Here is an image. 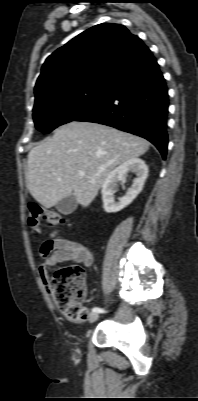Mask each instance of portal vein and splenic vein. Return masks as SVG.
Here are the masks:
<instances>
[{
	"label": "portal vein and splenic vein",
	"instance_id": "portal-vein-and-splenic-vein-1",
	"mask_svg": "<svg viewBox=\"0 0 198 401\" xmlns=\"http://www.w3.org/2000/svg\"><path fill=\"white\" fill-rule=\"evenodd\" d=\"M78 175H79L80 177H84V176H85V172H84V171H79V172H78Z\"/></svg>",
	"mask_w": 198,
	"mask_h": 401
}]
</instances>
